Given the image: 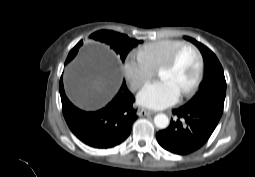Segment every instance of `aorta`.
<instances>
[{
	"instance_id": "1",
	"label": "aorta",
	"mask_w": 255,
	"mask_h": 177,
	"mask_svg": "<svg viewBox=\"0 0 255 177\" xmlns=\"http://www.w3.org/2000/svg\"><path fill=\"white\" fill-rule=\"evenodd\" d=\"M154 124L160 129H165L169 125V119L167 115L160 113L154 117Z\"/></svg>"
}]
</instances>
